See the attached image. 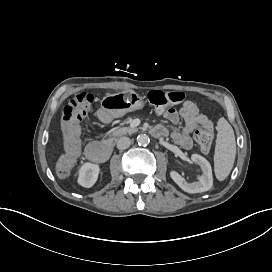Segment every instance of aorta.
I'll use <instances>...</instances> for the list:
<instances>
[{"instance_id":"762f6f07","label":"aorta","mask_w":272,"mask_h":272,"mask_svg":"<svg viewBox=\"0 0 272 272\" xmlns=\"http://www.w3.org/2000/svg\"><path fill=\"white\" fill-rule=\"evenodd\" d=\"M136 140L139 145H147L149 143V137L147 134H139Z\"/></svg>"}]
</instances>
